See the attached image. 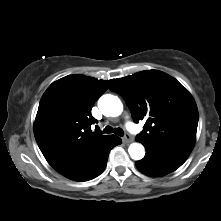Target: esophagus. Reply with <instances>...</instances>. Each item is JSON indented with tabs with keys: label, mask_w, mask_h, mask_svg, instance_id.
Listing matches in <instances>:
<instances>
[{
	"label": "esophagus",
	"mask_w": 221,
	"mask_h": 221,
	"mask_svg": "<svg viewBox=\"0 0 221 221\" xmlns=\"http://www.w3.org/2000/svg\"><path fill=\"white\" fill-rule=\"evenodd\" d=\"M124 143H130L132 141L131 136L127 133L125 136L122 138Z\"/></svg>",
	"instance_id": "1"
}]
</instances>
